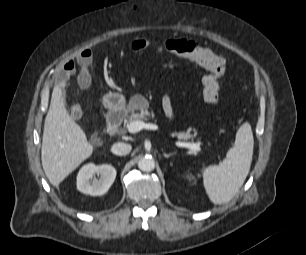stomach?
Returning <instances> with one entry per match:
<instances>
[{"instance_id": "1", "label": "stomach", "mask_w": 306, "mask_h": 255, "mask_svg": "<svg viewBox=\"0 0 306 255\" xmlns=\"http://www.w3.org/2000/svg\"><path fill=\"white\" fill-rule=\"evenodd\" d=\"M103 105L110 110L121 109L125 105V98L122 94L109 92L103 97Z\"/></svg>"}]
</instances>
